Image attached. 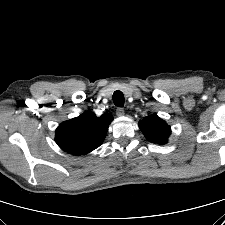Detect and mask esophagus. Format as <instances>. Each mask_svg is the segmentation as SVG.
I'll return each instance as SVG.
<instances>
[{
  "label": "esophagus",
  "mask_w": 225,
  "mask_h": 225,
  "mask_svg": "<svg viewBox=\"0 0 225 225\" xmlns=\"http://www.w3.org/2000/svg\"><path fill=\"white\" fill-rule=\"evenodd\" d=\"M116 114H117V116H124V114H125L124 109L121 107H118L116 109Z\"/></svg>",
  "instance_id": "1"
}]
</instances>
